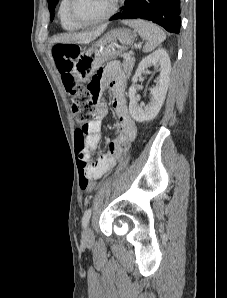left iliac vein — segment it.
<instances>
[{"label":"left iliac vein","instance_id":"obj_1","mask_svg":"<svg viewBox=\"0 0 227 298\" xmlns=\"http://www.w3.org/2000/svg\"><path fill=\"white\" fill-rule=\"evenodd\" d=\"M82 238L85 243H92L94 241V234L91 228L87 227L84 229Z\"/></svg>","mask_w":227,"mask_h":298}]
</instances>
